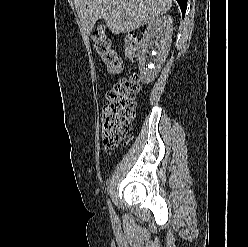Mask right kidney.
<instances>
[{
    "instance_id": "ca27d5eb",
    "label": "right kidney",
    "mask_w": 248,
    "mask_h": 247,
    "mask_svg": "<svg viewBox=\"0 0 248 247\" xmlns=\"http://www.w3.org/2000/svg\"><path fill=\"white\" fill-rule=\"evenodd\" d=\"M173 19L169 15L156 18L148 23L141 41L137 47L139 60V80L149 84L158 75L161 67L166 61L172 42ZM157 49L155 58H148V49Z\"/></svg>"
}]
</instances>
